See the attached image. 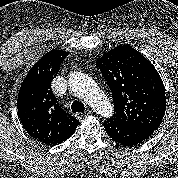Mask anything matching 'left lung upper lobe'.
<instances>
[{
    "label": "left lung upper lobe",
    "instance_id": "left-lung-upper-lobe-1",
    "mask_svg": "<svg viewBox=\"0 0 178 178\" xmlns=\"http://www.w3.org/2000/svg\"><path fill=\"white\" fill-rule=\"evenodd\" d=\"M112 92L111 119L158 128L166 109L165 89L157 70L141 53L120 45L97 59Z\"/></svg>",
    "mask_w": 178,
    "mask_h": 178
}]
</instances>
